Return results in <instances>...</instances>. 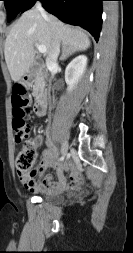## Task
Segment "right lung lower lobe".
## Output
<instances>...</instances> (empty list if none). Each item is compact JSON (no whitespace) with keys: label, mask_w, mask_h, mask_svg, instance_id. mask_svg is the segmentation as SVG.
I'll return each instance as SVG.
<instances>
[{"label":"right lung lower lobe","mask_w":133,"mask_h":253,"mask_svg":"<svg viewBox=\"0 0 133 253\" xmlns=\"http://www.w3.org/2000/svg\"><path fill=\"white\" fill-rule=\"evenodd\" d=\"M38 0H26L21 12H24ZM49 13L63 22L78 25L88 30L96 41L99 39L102 25L103 0H39Z\"/></svg>","instance_id":"1"}]
</instances>
